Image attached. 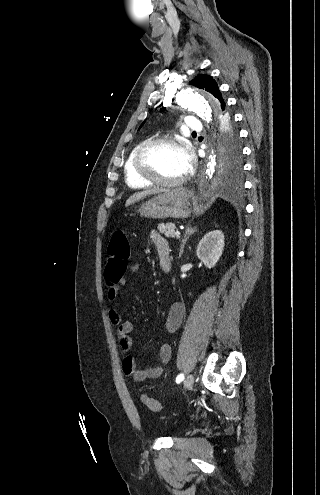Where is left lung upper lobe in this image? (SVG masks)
<instances>
[{
	"label": "left lung upper lobe",
	"mask_w": 320,
	"mask_h": 495,
	"mask_svg": "<svg viewBox=\"0 0 320 495\" xmlns=\"http://www.w3.org/2000/svg\"><path fill=\"white\" fill-rule=\"evenodd\" d=\"M191 85L212 94L219 102L221 115L227 111L226 103L216 81L209 75H197ZM221 138L219 141L218 158L224 172L229 176H236L242 169L241 146L238 131L234 125L229 126L220 116Z\"/></svg>",
	"instance_id": "5c2ea615"
}]
</instances>
